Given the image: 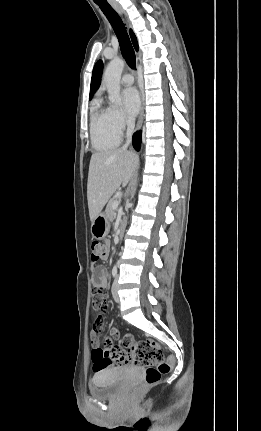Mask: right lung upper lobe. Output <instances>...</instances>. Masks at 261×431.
I'll return each instance as SVG.
<instances>
[{
	"mask_svg": "<svg viewBox=\"0 0 261 431\" xmlns=\"http://www.w3.org/2000/svg\"><path fill=\"white\" fill-rule=\"evenodd\" d=\"M130 36H131V40H132V43H133L135 49L138 50L137 39H136V37H135V35H134V33H133L132 30H130ZM102 70H103V62L101 60H99L95 64L94 69H93L89 99H91V97L93 96V94L95 93V91L100 86Z\"/></svg>",
	"mask_w": 261,
	"mask_h": 431,
	"instance_id": "obj_1",
	"label": "right lung upper lobe"
}]
</instances>
